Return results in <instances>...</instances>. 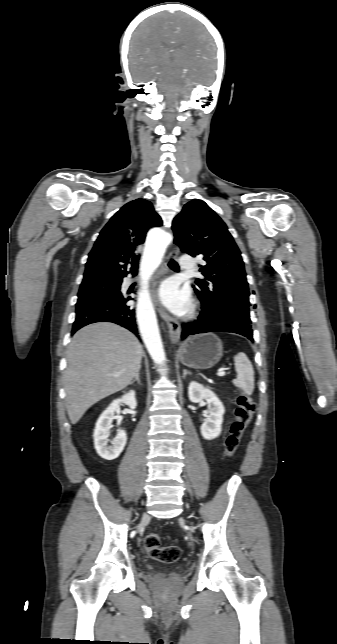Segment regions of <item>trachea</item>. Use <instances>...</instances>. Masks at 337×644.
I'll return each mask as SVG.
<instances>
[{"label": "trachea", "mask_w": 337, "mask_h": 644, "mask_svg": "<svg viewBox=\"0 0 337 644\" xmlns=\"http://www.w3.org/2000/svg\"><path fill=\"white\" fill-rule=\"evenodd\" d=\"M168 266L174 270H179V266L176 261L170 260Z\"/></svg>", "instance_id": "trachea-1"}]
</instances>
